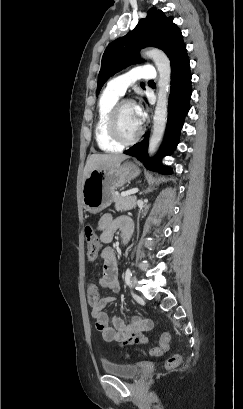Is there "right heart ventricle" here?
I'll return each mask as SVG.
<instances>
[{
	"label": "right heart ventricle",
	"instance_id": "1",
	"mask_svg": "<svg viewBox=\"0 0 243 409\" xmlns=\"http://www.w3.org/2000/svg\"><path fill=\"white\" fill-rule=\"evenodd\" d=\"M121 96L106 88L99 99L98 118L95 125V139L100 150L104 152H118L122 146L116 143L108 132V117Z\"/></svg>",
	"mask_w": 243,
	"mask_h": 409
}]
</instances>
